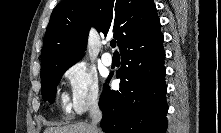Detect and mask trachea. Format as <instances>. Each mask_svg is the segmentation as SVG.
<instances>
[{
    "instance_id": "trachea-1",
    "label": "trachea",
    "mask_w": 221,
    "mask_h": 133,
    "mask_svg": "<svg viewBox=\"0 0 221 133\" xmlns=\"http://www.w3.org/2000/svg\"><path fill=\"white\" fill-rule=\"evenodd\" d=\"M110 45L112 48H114L116 46V41L115 40H111L110 41Z\"/></svg>"
}]
</instances>
